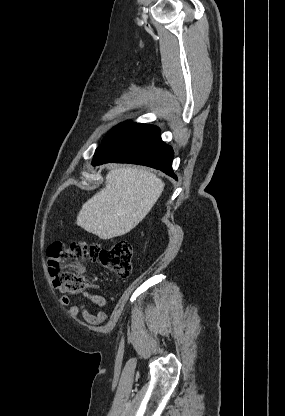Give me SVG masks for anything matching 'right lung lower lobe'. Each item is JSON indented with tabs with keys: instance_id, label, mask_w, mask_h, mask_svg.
I'll return each mask as SVG.
<instances>
[{
	"instance_id": "obj_1",
	"label": "right lung lower lobe",
	"mask_w": 285,
	"mask_h": 416,
	"mask_svg": "<svg viewBox=\"0 0 285 416\" xmlns=\"http://www.w3.org/2000/svg\"><path fill=\"white\" fill-rule=\"evenodd\" d=\"M172 160L173 150L161 140L159 128L136 123L105 140L96 149L92 165L109 162L140 164L176 178Z\"/></svg>"
}]
</instances>
